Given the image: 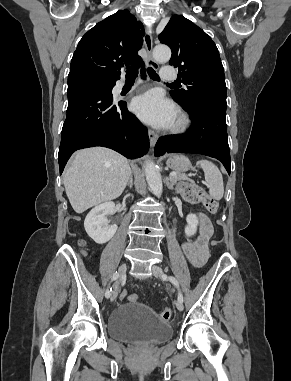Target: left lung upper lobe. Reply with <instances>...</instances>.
Listing matches in <instances>:
<instances>
[{
  "mask_svg": "<svg viewBox=\"0 0 291 381\" xmlns=\"http://www.w3.org/2000/svg\"><path fill=\"white\" fill-rule=\"evenodd\" d=\"M161 43L172 50L170 65L179 68L186 89L170 91L183 108L196 103L226 106L223 65L212 39L193 22L180 15L171 17L159 34Z\"/></svg>",
  "mask_w": 291,
  "mask_h": 381,
  "instance_id": "left-lung-upper-lobe-1",
  "label": "left lung upper lobe"
}]
</instances>
